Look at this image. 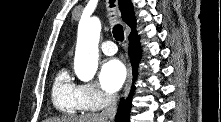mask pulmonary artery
<instances>
[{
	"mask_svg": "<svg viewBox=\"0 0 221 122\" xmlns=\"http://www.w3.org/2000/svg\"><path fill=\"white\" fill-rule=\"evenodd\" d=\"M101 50L106 55H113L117 52V47L113 41H104L101 44Z\"/></svg>",
	"mask_w": 221,
	"mask_h": 122,
	"instance_id": "1",
	"label": "pulmonary artery"
}]
</instances>
